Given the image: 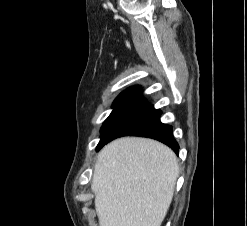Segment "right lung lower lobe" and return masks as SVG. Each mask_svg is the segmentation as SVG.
I'll list each match as a JSON object with an SVG mask.
<instances>
[{
  "instance_id": "right-lung-lower-lobe-1",
  "label": "right lung lower lobe",
  "mask_w": 247,
  "mask_h": 226,
  "mask_svg": "<svg viewBox=\"0 0 247 226\" xmlns=\"http://www.w3.org/2000/svg\"><path fill=\"white\" fill-rule=\"evenodd\" d=\"M161 111L142 96L139 86L122 92L113 103V111L101 128L97 151L121 136H142L161 141L178 153L179 145L172 135V127L160 122Z\"/></svg>"
}]
</instances>
